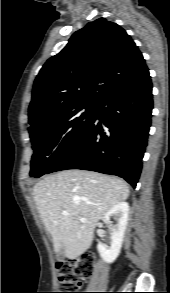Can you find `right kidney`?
Wrapping results in <instances>:
<instances>
[{
	"label": "right kidney",
	"instance_id": "right-kidney-1",
	"mask_svg": "<svg viewBox=\"0 0 170 293\" xmlns=\"http://www.w3.org/2000/svg\"><path fill=\"white\" fill-rule=\"evenodd\" d=\"M129 205L127 202H119L113 206L103 216V221L108 225L111 233L110 247L103 243H98V252L106 263H112L119 256L123 238L128 222ZM111 218L114 219L115 224H112Z\"/></svg>",
	"mask_w": 170,
	"mask_h": 293
}]
</instances>
